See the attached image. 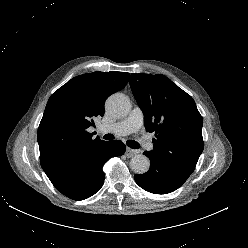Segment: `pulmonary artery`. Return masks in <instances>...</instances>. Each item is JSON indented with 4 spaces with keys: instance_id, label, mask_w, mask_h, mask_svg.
<instances>
[{
    "instance_id": "pulmonary-artery-1",
    "label": "pulmonary artery",
    "mask_w": 248,
    "mask_h": 248,
    "mask_svg": "<svg viewBox=\"0 0 248 248\" xmlns=\"http://www.w3.org/2000/svg\"><path fill=\"white\" fill-rule=\"evenodd\" d=\"M144 115L139 107L133 108L129 116L124 120L115 123L113 125H99L98 131L100 133H115L117 135H128L137 132L143 125ZM147 148H151V145H147Z\"/></svg>"
}]
</instances>
